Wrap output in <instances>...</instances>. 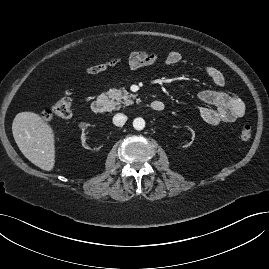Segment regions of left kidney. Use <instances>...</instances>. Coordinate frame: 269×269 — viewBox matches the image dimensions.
I'll use <instances>...</instances> for the list:
<instances>
[{"label":"left kidney","instance_id":"left-kidney-1","mask_svg":"<svg viewBox=\"0 0 269 269\" xmlns=\"http://www.w3.org/2000/svg\"><path fill=\"white\" fill-rule=\"evenodd\" d=\"M187 129L190 131V133H187V135H190L191 136V139L193 141L194 140V137H195V133H194V131L190 127H187ZM192 141L189 142V143H187V144H185L183 147L190 146L192 144Z\"/></svg>","mask_w":269,"mask_h":269}]
</instances>
